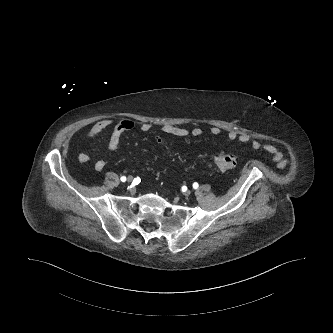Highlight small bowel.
<instances>
[{
  "label": "small bowel",
  "mask_w": 333,
  "mask_h": 333,
  "mask_svg": "<svg viewBox=\"0 0 333 333\" xmlns=\"http://www.w3.org/2000/svg\"><path fill=\"white\" fill-rule=\"evenodd\" d=\"M113 124V121L111 119H102L97 121L87 132L86 139L90 140L99 134H101L103 131H105L107 128H109ZM135 128V122L129 119H124L119 121L113 126L108 145L107 150L109 153H114L117 151L120 139L123 133L127 131H131ZM151 129V125L149 123H142L140 125V130L142 132H148ZM162 131L164 134L172 136V137H178V138H185L189 135L199 137L203 135V130L199 127H193L191 129H187L184 127H179L171 124H166L162 127ZM221 133L220 128L213 126L210 129V134L212 136H218ZM227 138L229 141H238L241 143H248L251 141V145L255 150L263 149L265 152L272 155L273 160L277 162L280 166H284L288 163V159L284 155V153L277 148L275 145L272 144H264L262 145L260 141L257 139L250 138L249 135L244 133H237L235 131H230L227 134ZM159 141H161V138H158ZM78 160L80 164H87L90 161V156L86 153H81L78 156ZM106 167V160L100 159L95 163V170L97 172H102Z\"/></svg>",
  "instance_id": "1"
}]
</instances>
